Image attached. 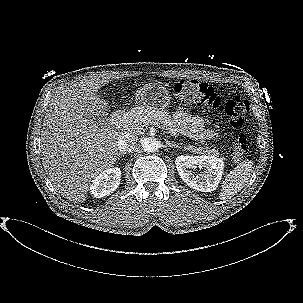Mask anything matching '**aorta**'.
<instances>
[{
    "instance_id": "762f6f07",
    "label": "aorta",
    "mask_w": 303,
    "mask_h": 303,
    "mask_svg": "<svg viewBox=\"0 0 303 303\" xmlns=\"http://www.w3.org/2000/svg\"><path fill=\"white\" fill-rule=\"evenodd\" d=\"M145 152H155L158 149V141L152 137H146L141 142Z\"/></svg>"
}]
</instances>
